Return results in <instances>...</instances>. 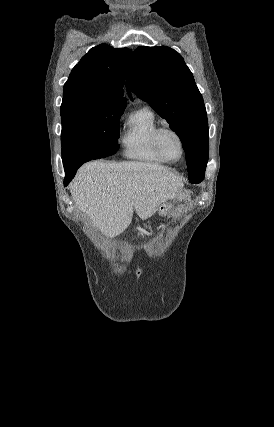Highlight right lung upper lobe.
I'll return each mask as SVG.
<instances>
[{"instance_id": "right-lung-upper-lobe-1", "label": "right lung upper lobe", "mask_w": 274, "mask_h": 427, "mask_svg": "<svg viewBox=\"0 0 274 427\" xmlns=\"http://www.w3.org/2000/svg\"><path fill=\"white\" fill-rule=\"evenodd\" d=\"M132 51L98 45L74 67L63 88L61 108L81 103H121L127 64Z\"/></svg>"}]
</instances>
